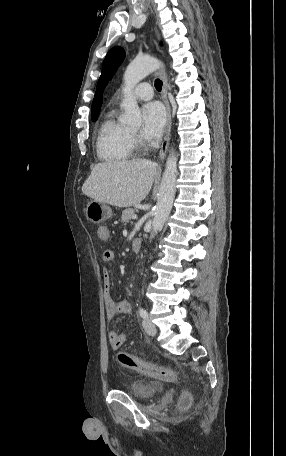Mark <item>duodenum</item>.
Masks as SVG:
<instances>
[{"label": "duodenum", "mask_w": 286, "mask_h": 456, "mask_svg": "<svg viewBox=\"0 0 286 456\" xmlns=\"http://www.w3.org/2000/svg\"><path fill=\"white\" fill-rule=\"evenodd\" d=\"M141 239L139 238H136L132 241V245H131V248H132V251L133 252H139L140 249H141Z\"/></svg>", "instance_id": "obj_1"}]
</instances>
